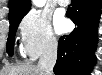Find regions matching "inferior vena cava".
I'll use <instances>...</instances> for the list:
<instances>
[{
	"instance_id": "obj_1",
	"label": "inferior vena cava",
	"mask_w": 102,
	"mask_h": 75,
	"mask_svg": "<svg viewBox=\"0 0 102 75\" xmlns=\"http://www.w3.org/2000/svg\"><path fill=\"white\" fill-rule=\"evenodd\" d=\"M57 48V40L50 38L38 63V66L45 71L46 75H53V68L57 60Z\"/></svg>"
}]
</instances>
